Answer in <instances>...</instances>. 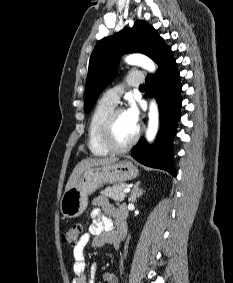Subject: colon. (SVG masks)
I'll return each instance as SVG.
<instances>
[{
  "instance_id": "5ec220e1",
  "label": "colon",
  "mask_w": 233,
  "mask_h": 283,
  "mask_svg": "<svg viewBox=\"0 0 233 283\" xmlns=\"http://www.w3.org/2000/svg\"><path fill=\"white\" fill-rule=\"evenodd\" d=\"M83 227L80 223H75L66 228L63 232L62 239L65 243L75 245L82 234Z\"/></svg>"
}]
</instances>
